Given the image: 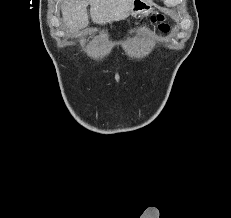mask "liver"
<instances>
[{
  "instance_id": "6515ba94",
  "label": "liver",
  "mask_w": 231,
  "mask_h": 218,
  "mask_svg": "<svg viewBox=\"0 0 231 218\" xmlns=\"http://www.w3.org/2000/svg\"><path fill=\"white\" fill-rule=\"evenodd\" d=\"M133 0H67L62 5L65 25L78 31L88 25L87 6L90 5L92 21L111 24L125 19L131 10Z\"/></svg>"
}]
</instances>
